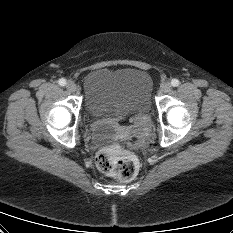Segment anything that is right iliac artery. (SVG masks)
<instances>
[{
    "instance_id": "right-iliac-artery-1",
    "label": "right iliac artery",
    "mask_w": 233,
    "mask_h": 233,
    "mask_svg": "<svg viewBox=\"0 0 233 233\" xmlns=\"http://www.w3.org/2000/svg\"><path fill=\"white\" fill-rule=\"evenodd\" d=\"M60 86H65L66 85V80L64 78L59 79L58 81Z\"/></svg>"
}]
</instances>
